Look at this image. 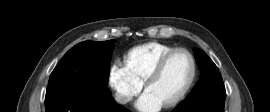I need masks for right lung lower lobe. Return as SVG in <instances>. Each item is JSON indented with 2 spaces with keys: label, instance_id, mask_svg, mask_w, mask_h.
Listing matches in <instances>:
<instances>
[{
  "label": "right lung lower lobe",
  "instance_id": "1",
  "mask_svg": "<svg viewBox=\"0 0 270 112\" xmlns=\"http://www.w3.org/2000/svg\"><path fill=\"white\" fill-rule=\"evenodd\" d=\"M45 108L46 112H131L118 105L111 95L103 97L69 85L46 95Z\"/></svg>",
  "mask_w": 270,
  "mask_h": 112
}]
</instances>
